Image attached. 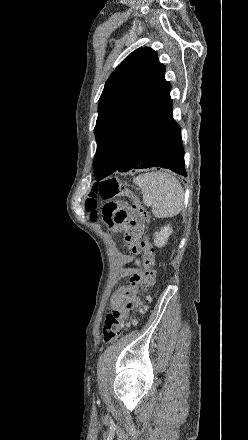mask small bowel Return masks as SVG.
<instances>
[{"label": "small bowel", "instance_id": "c3829d8e", "mask_svg": "<svg viewBox=\"0 0 248 440\" xmlns=\"http://www.w3.org/2000/svg\"><path fill=\"white\" fill-rule=\"evenodd\" d=\"M127 207V206H125ZM116 228V227H114ZM144 231V224L135 222L131 223L129 228L124 232L125 240L131 250V252L137 256L140 253L139 249V239ZM134 260L132 255H120L118 261L121 265H125ZM139 265V260L136 261ZM142 268L137 266L133 268H124L121 273L125 276L136 277L140 276ZM136 303V298L133 295V286L120 288L112 297L111 305L113 309L119 312H125L126 310L132 308Z\"/></svg>", "mask_w": 248, "mask_h": 440}]
</instances>
